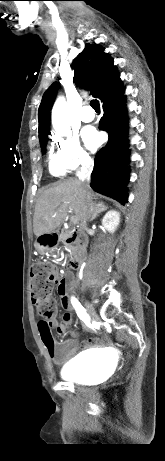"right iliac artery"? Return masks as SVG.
Listing matches in <instances>:
<instances>
[{"instance_id":"obj_1","label":"right iliac artery","mask_w":165,"mask_h":461,"mask_svg":"<svg viewBox=\"0 0 165 461\" xmlns=\"http://www.w3.org/2000/svg\"><path fill=\"white\" fill-rule=\"evenodd\" d=\"M72 304L81 317H83L86 321L90 320L89 315L86 313V310L83 308L82 305H80V303L75 298H72Z\"/></svg>"}]
</instances>
